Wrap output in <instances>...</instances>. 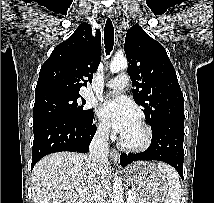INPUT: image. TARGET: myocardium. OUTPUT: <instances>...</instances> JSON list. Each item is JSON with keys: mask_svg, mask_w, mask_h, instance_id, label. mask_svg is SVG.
I'll list each match as a JSON object with an SVG mask.
<instances>
[{"mask_svg": "<svg viewBox=\"0 0 214 203\" xmlns=\"http://www.w3.org/2000/svg\"><path fill=\"white\" fill-rule=\"evenodd\" d=\"M138 125L143 134L142 138L137 142L131 143L126 141L123 135H121L119 138L118 144L122 149L127 151H132V152H140L147 149L151 145L152 138H153L151 129L148 127V125L145 122L141 120L138 121Z\"/></svg>", "mask_w": 214, "mask_h": 203, "instance_id": "myocardium-1", "label": "myocardium"}]
</instances>
